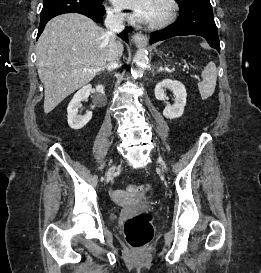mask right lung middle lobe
<instances>
[{
    "instance_id": "1",
    "label": "right lung middle lobe",
    "mask_w": 261,
    "mask_h": 273,
    "mask_svg": "<svg viewBox=\"0 0 261 273\" xmlns=\"http://www.w3.org/2000/svg\"><path fill=\"white\" fill-rule=\"evenodd\" d=\"M96 1H100V2H103V0H96Z\"/></svg>"
}]
</instances>
